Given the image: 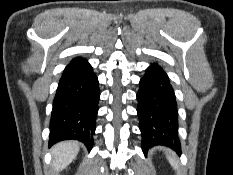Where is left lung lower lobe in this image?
<instances>
[{
	"label": "left lung lower lobe",
	"mask_w": 233,
	"mask_h": 175,
	"mask_svg": "<svg viewBox=\"0 0 233 175\" xmlns=\"http://www.w3.org/2000/svg\"><path fill=\"white\" fill-rule=\"evenodd\" d=\"M137 101L143 151L164 145L180 153L175 94L167 74L158 64H151L140 79Z\"/></svg>",
	"instance_id": "0a47b994"
}]
</instances>
